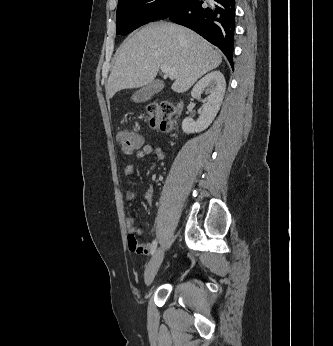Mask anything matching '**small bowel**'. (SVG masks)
Wrapping results in <instances>:
<instances>
[{
  "label": "small bowel",
  "instance_id": "obj_1",
  "mask_svg": "<svg viewBox=\"0 0 333 346\" xmlns=\"http://www.w3.org/2000/svg\"><path fill=\"white\" fill-rule=\"evenodd\" d=\"M153 155L154 156V162L151 164L148 174H151L154 170L156 163L161 162L165 159V149L160 145H152V144H145L141 149L137 150L135 152V157L138 159L145 158L147 156ZM134 173V166L133 165H127L124 169V174L126 176H131ZM135 191L129 190L127 192V200L129 202L134 201L135 199ZM153 199V188L150 186L146 192L145 200L146 202L150 203ZM126 225L128 228L127 232V246L129 247V250H131L132 254H151L152 248L151 243H142V239H140V236L138 235L137 228L134 224V218L132 216L127 217L126 219Z\"/></svg>",
  "mask_w": 333,
  "mask_h": 346
}]
</instances>
